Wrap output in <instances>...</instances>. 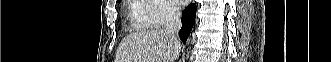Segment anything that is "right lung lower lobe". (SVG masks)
Returning a JSON list of instances; mask_svg holds the SVG:
<instances>
[{"label":"right lung lower lobe","mask_w":331,"mask_h":62,"mask_svg":"<svg viewBox=\"0 0 331 62\" xmlns=\"http://www.w3.org/2000/svg\"><path fill=\"white\" fill-rule=\"evenodd\" d=\"M196 9V4H190L182 13L181 21L183 24L181 30L179 31V37L184 44L186 43L187 37L190 35L194 25Z\"/></svg>","instance_id":"98d812e1"}]
</instances>
